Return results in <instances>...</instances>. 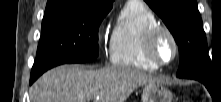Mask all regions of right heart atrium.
Masks as SVG:
<instances>
[{
    "instance_id": "1",
    "label": "right heart atrium",
    "mask_w": 221,
    "mask_h": 102,
    "mask_svg": "<svg viewBox=\"0 0 221 102\" xmlns=\"http://www.w3.org/2000/svg\"><path fill=\"white\" fill-rule=\"evenodd\" d=\"M104 36H105V33H104V22L102 21L98 28H97V32H96V39H97V42L98 44H101L104 40Z\"/></svg>"
}]
</instances>
